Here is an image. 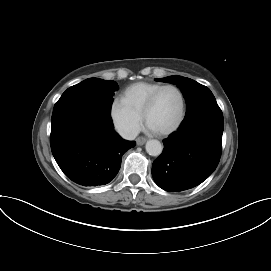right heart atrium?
Wrapping results in <instances>:
<instances>
[{
	"label": "right heart atrium",
	"instance_id": "d8ad5b80",
	"mask_svg": "<svg viewBox=\"0 0 271 271\" xmlns=\"http://www.w3.org/2000/svg\"><path fill=\"white\" fill-rule=\"evenodd\" d=\"M109 115L115 130L123 138H134L142 126V116L131 110L121 99L112 101Z\"/></svg>",
	"mask_w": 271,
	"mask_h": 271
}]
</instances>
